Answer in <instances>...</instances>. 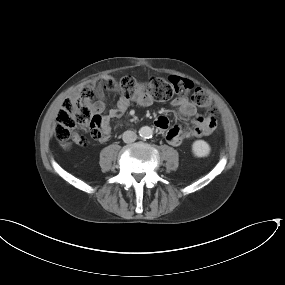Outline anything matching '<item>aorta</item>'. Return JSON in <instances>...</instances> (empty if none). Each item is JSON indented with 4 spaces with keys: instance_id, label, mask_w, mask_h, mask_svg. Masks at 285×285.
Masks as SVG:
<instances>
[{
    "instance_id": "obj_1",
    "label": "aorta",
    "mask_w": 285,
    "mask_h": 285,
    "mask_svg": "<svg viewBox=\"0 0 285 285\" xmlns=\"http://www.w3.org/2000/svg\"><path fill=\"white\" fill-rule=\"evenodd\" d=\"M139 134L143 138H151L153 135V129L149 126H143L140 128Z\"/></svg>"
}]
</instances>
